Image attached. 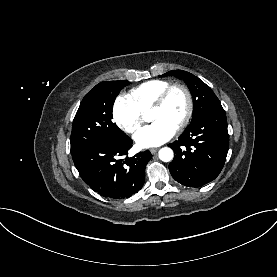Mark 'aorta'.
<instances>
[{
	"label": "aorta",
	"mask_w": 277,
	"mask_h": 277,
	"mask_svg": "<svg viewBox=\"0 0 277 277\" xmlns=\"http://www.w3.org/2000/svg\"><path fill=\"white\" fill-rule=\"evenodd\" d=\"M173 151L168 147H164L159 150V158L164 162H169L173 159Z\"/></svg>",
	"instance_id": "762f6f07"
}]
</instances>
